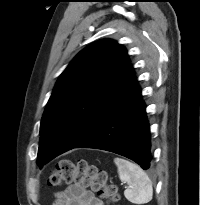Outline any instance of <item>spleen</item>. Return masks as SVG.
Here are the masks:
<instances>
[{
    "label": "spleen",
    "mask_w": 200,
    "mask_h": 205,
    "mask_svg": "<svg viewBox=\"0 0 200 205\" xmlns=\"http://www.w3.org/2000/svg\"><path fill=\"white\" fill-rule=\"evenodd\" d=\"M114 163L118 168L120 180L128 184L124 191L127 200L134 204L150 202L153 196L152 182L140 166L118 157L114 159Z\"/></svg>",
    "instance_id": "1"
}]
</instances>
